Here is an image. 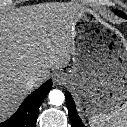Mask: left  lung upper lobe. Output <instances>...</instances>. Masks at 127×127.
Returning a JSON list of instances; mask_svg holds the SVG:
<instances>
[{
    "instance_id": "5c2ea615",
    "label": "left lung upper lobe",
    "mask_w": 127,
    "mask_h": 127,
    "mask_svg": "<svg viewBox=\"0 0 127 127\" xmlns=\"http://www.w3.org/2000/svg\"><path fill=\"white\" fill-rule=\"evenodd\" d=\"M114 12H115L118 16L127 19V16H126L123 12L118 11V10H115Z\"/></svg>"
}]
</instances>
